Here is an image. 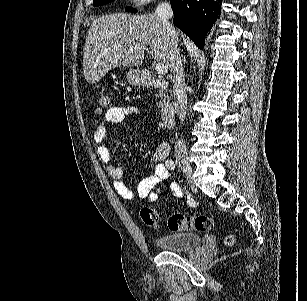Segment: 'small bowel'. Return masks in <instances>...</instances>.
Returning <instances> with one entry per match:
<instances>
[{"instance_id":"c3829d8e","label":"small bowel","mask_w":307,"mask_h":301,"mask_svg":"<svg viewBox=\"0 0 307 301\" xmlns=\"http://www.w3.org/2000/svg\"><path fill=\"white\" fill-rule=\"evenodd\" d=\"M136 113L137 108L133 106H113L109 108L105 114L104 120L96 127L93 140L100 159L107 165V172L113 180L116 192L122 198L127 200H132L138 197L140 199H148V201L153 202L157 200L161 194L159 185L166 181L169 177L168 167L166 166V163H164V160L169 152L168 145L161 144L157 147L151 157L152 162L155 163L154 172L150 176L145 177L140 181L137 192L134 193L122 180V168L111 163V154L106 144L107 129L119 125L128 116ZM170 192L175 198L182 197V189L175 182L171 183Z\"/></svg>"}]
</instances>
